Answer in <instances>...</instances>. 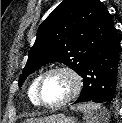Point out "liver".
<instances>
[{
	"instance_id": "1",
	"label": "liver",
	"mask_w": 122,
	"mask_h": 123,
	"mask_svg": "<svg viewBox=\"0 0 122 123\" xmlns=\"http://www.w3.org/2000/svg\"><path fill=\"white\" fill-rule=\"evenodd\" d=\"M48 117L46 118H36V119H27L24 123H44L46 122Z\"/></svg>"
}]
</instances>
